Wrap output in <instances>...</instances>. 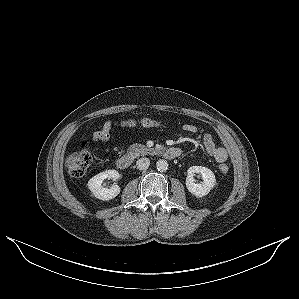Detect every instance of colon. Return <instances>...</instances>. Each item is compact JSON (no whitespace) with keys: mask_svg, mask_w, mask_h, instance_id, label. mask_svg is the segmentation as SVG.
Here are the masks:
<instances>
[{"mask_svg":"<svg viewBox=\"0 0 299 299\" xmlns=\"http://www.w3.org/2000/svg\"><path fill=\"white\" fill-rule=\"evenodd\" d=\"M118 125L123 128L141 125L143 127H162V124L152 118H142L140 120L122 119ZM93 163V157L89 151L87 143H83L79 150L70 154L66 160V168L68 173L73 177L83 176ZM219 169L222 173H227L229 167L226 164H221Z\"/></svg>","mask_w":299,"mask_h":299,"instance_id":"1","label":"colon"}]
</instances>
